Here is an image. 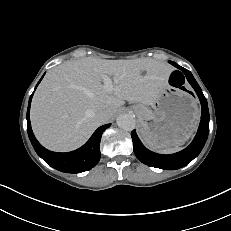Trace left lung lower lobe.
I'll list each match as a JSON object with an SVG mask.
<instances>
[{"label":"left lung lower lobe","instance_id":"0a47b994","mask_svg":"<svg viewBox=\"0 0 231 231\" xmlns=\"http://www.w3.org/2000/svg\"><path fill=\"white\" fill-rule=\"evenodd\" d=\"M180 69L186 75L188 82L194 88L201 102L202 114L198 132L192 143L184 150L171 155H161L148 150L139 140L135 130H133L131 137L133 139L134 153L142 163L148 166L166 170H176L182 168L199 155L208 137L210 117L207 100L191 72L184 68Z\"/></svg>","mask_w":231,"mask_h":231}]
</instances>
